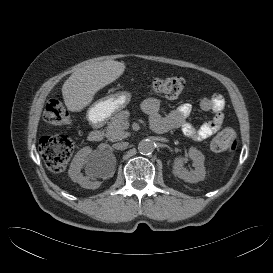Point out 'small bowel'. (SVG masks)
<instances>
[{
    "mask_svg": "<svg viewBox=\"0 0 273 273\" xmlns=\"http://www.w3.org/2000/svg\"><path fill=\"white\" fill-rule=\"evenodd\" d=\"M160 101L156 98H147L142 103V108L149 115L150 121L161 118ZM225 99L221 94H212L200 101V108L204 111H212L213 117L199 127H195L188 121L191 112L189 104H182L170 112L163 119L168 129H180L186 136L194 140H204L218 132L224 123Z\"/></svg>",
    "mask_w": 273,
    "mask_h": 273,
    "instance_id": "c3829d8e",
    "label": "small bowel"
}]
</instances>
